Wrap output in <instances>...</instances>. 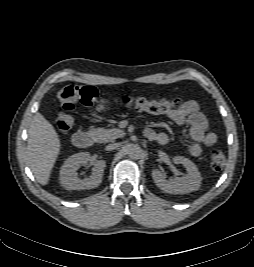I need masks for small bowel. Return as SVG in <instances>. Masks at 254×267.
<instances>
[{
	"label": "small bowel",
	"mask_w": 254,
	"mask_h": 267,
	"mask_svg": "<svg viewBox=\"0 0 254 267\" xmlns=\"http://www.w3.org/2000/svg\"><path fill=\"white\" fill-rule=\"evenodd\" d=\"M169 118L177 124H187L192 143L188 146V152L193 157L202 154L204 147H211L216 143V135L209 131L208 121L205 115L200 111V106L195 100L183 102L176 109L168 114ZM145 135L151 140L157 141L161 145L169 143V137L166 133L155 132L148 128Z\"/></svg>",
	"instance_id": "obj_1"
}]
</instances>
